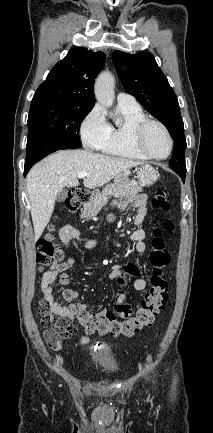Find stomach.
Masks as SVG:
<instances>
[{"label":"stomach","instance_id":"stomach-1","mask_svg":"<svg viewBox=\"0 0 213 433\" xmlns=\"http://www.w3.org/2000/svg\"><path fill=\"white\" fill-rule=\"evenodd\" d=\"M137 179L142 186L149 187L158 179V171L150 165H142L136 169Z\"/></svg>","mask_w":213,"mask_h":433}]
</instances>
